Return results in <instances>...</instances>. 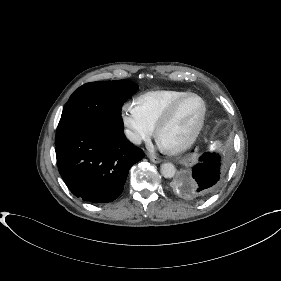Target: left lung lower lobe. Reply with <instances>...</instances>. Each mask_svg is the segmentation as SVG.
Returning <instances> with one entry per match:
<instances>
[{
  "instance_id": "left-lung-lower-lobe-1",
  "label": "left lung lower lobe",
  "mask_w": 281,
  "mask_h": 281,
  "mask_svg": "<svg viewBox=\"0 0 281 281\" xmlns=\"http://www.w3.org/2000/svg\"><path fill=\"white\" fill-rule=\"evenodd\" d=\"M200 163L192 168L191 179L186 182V190L192 199H203L214 193L220 185V157L215 153H204Z\"/></svg>"
}]
</instances>
